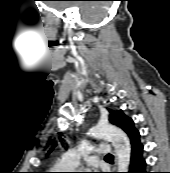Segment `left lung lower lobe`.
I'll use <instances>...</instances> for the list:
<instances>
[{"label": "left lung lower lobe", "mask_w": 170, "mask_h": 173, "mask_svg": "<svg viewBox=\"0 0 170 173\" xmlns=\"http://www.w3.org/2000/svg\"><path fill=\"white\" fill-rule=\"evenodd\" d=\"M128 173H148L146 172V161L143 157V144L141 142L131 147V159Z\"/></svg>", "instance_id": "1"}]
</instances>
